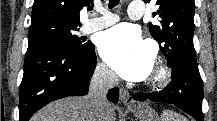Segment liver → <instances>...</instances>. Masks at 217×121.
<instances>
[{
	"label": "liver",
	"instance_id": "obj_1",
	"mask_svg": "<svg viewBox=\"0 0 217 121\" xmlns=\"http://www.w3.org/2000/svg\"><path fill=\"white\" fill-rule=\"evenodd\" d=\"M31 121H89V103L86 97H67L49 103L38 111ZM104 121H115L114 108L106 107Z\"/></svg>",
	"mask_w": 217,
	"mask_h": 121
}]
</instances>
